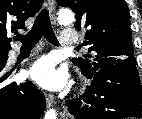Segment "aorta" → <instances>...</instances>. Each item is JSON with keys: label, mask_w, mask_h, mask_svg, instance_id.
I'll return each instance as SVG.
<instances>
[{"label": "aorta", "mask_w": 142, "mask_h": 119, "mask_svg": "<svg viewBox=\"0 0 142 119\" xmlns=\"http://www.w3.org/2000/svg\"><path fill=\"white\" fill-rule=\"evenodd\" d=\"M58 23L61 25H69L74 20V14L69 9H61L58 12ZM44 119H57V113L54 109H50L46 112Z\"/></svg>", "instance_id": "aorta-1"}]
</instances>
